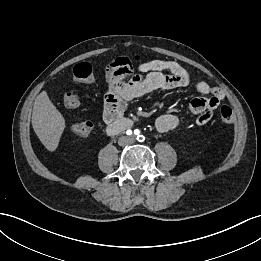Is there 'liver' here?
I'll return each instance as SVG.
<instances>
[{"label": "liver", "mask_w": 261, "mask_h": 261, "mask_svg": "<svg viewBox=\"0 0 261 261\" xmlns=\"http://www.w3.org/2000/svg\"><path fill=\"white\" fill-rule=\"evenodd\" d=\"M32 127L41 143L49 151H54L65 128V119L42 91L35 99L32 112Z\"/></svg>", "instance_id": "1"}]
</instances>
